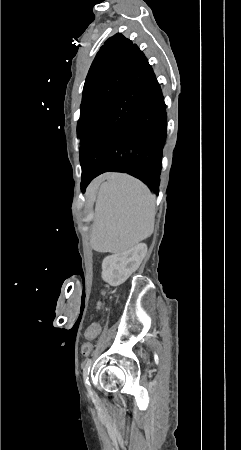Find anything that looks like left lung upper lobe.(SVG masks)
I'll list each match as a JSON object with an SVG mask.
<instances>
[{"mask_svg":"<svg viewBox=\"0 0 241 450\" xmlns=\"http://www.w3.org/2000/svg\"><path fill=\"white\" fill-rule=\"evenodd\" d=\"M132 47L131 40L116 34L96 54L85 80L77 124L80 151L95 121L117 100L132 58Z\"/></svg>","mask_w":241,"mask_h":450,"instance_id":"left-lung-upper-lobe-1","label":"left lung upper lobe"}]
</instances>
